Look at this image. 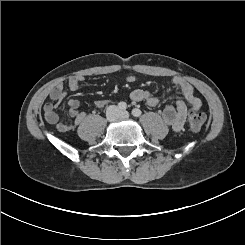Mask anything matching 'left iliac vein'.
Returning a JSON list of instances; mask_svg holds the SVG:
<instances>
[{
	"label": "left iliac vein",
	"instance_id": "left-iliac-vein-1",
	"mask_svg": "<svg viewBox=\"0 0 245 245\" xmlns=\"http://www.w3.org/2000/svg\"><path fill=\"white\" fill-rule=\"evenodd\" d=\"M128 117H129V112H127V111H122L119 114V118H121V119H125V118H128Z\"/></svg>",
	"mask_w": 245,
	"mask_h": 245
}]
</instances>
